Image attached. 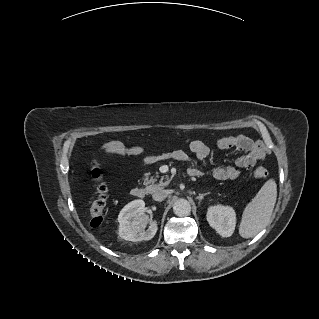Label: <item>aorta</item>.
<instances>
[{"label":"aorta","instance_id":"aorta-1","mask_svg":"<svg viewBox=\"0 0 319 319\" xmlns=\"http://www.w3.org/2000/svg\"><path fill=\"white\" fill-rule=\"evenodd\" d=\"M173 212L180 217L188 216L191 212L189 201L184 198L177 199L173 204Z\"/></svg>","mask_w":319,"mask_h":319}]
</instances>
